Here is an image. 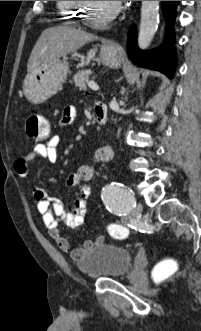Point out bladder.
I'll use <instances>...</instances> for the list:
<instances>
[{
	"label": "bladder",
	"mask_w": 201,
	"mask_h": 331,
	"mask_svg": "<svg viewBox=\"0 0 201 331\" xmlns=\"http://www.w3.org/2000/svg\"><path fill=\"white\" fill-rule=\"evenodd\" d=\"M132 261L133 255L126 248L113 243H102L89 250L76 265L89 278L107 279L124 276Z\"/></svg>",
	"instance_id": "1"
}]
</instances>
